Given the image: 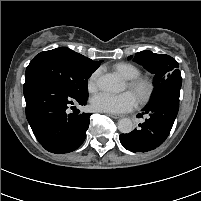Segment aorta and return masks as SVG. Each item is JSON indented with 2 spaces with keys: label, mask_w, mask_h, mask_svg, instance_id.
<instances>
[{
  "label": "aorta",
  "mask_w": 201,
  "mask_h": 201,
  "mask_svg": "<svg viewBox=\"0 0 201 201\" xmlns=\"http://www.w3.org/2000/svg\"><path fill=\"white\" fill-rule=\"evenodd\" d=\"M98 87L106 92H120L124 89L122 81L114 74L102 75L97 82ZM118 129L121 133L128 134L133 130V122L129 118H122L118 121Z\"/></svg>",
  "instance_id": "aorta-1"
}]
</instances>
